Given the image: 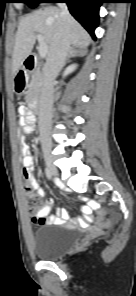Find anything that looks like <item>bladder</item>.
<instances>
[{
    "mask_svg": "<svg viewBox=\"0 0 136 296\" xmlns=\"http://www.w3.org/2000/svg\"><path fill=\"white\" fill-rule=\"evenodd\" d=\"M33 231L31 244L41 260H56L69 252L80 241L76 230L66 226L42 225Z\"/></svg>",
    "mask_w": 136,
    "mask_h": 296,
    "instance_id": "31cf9c89",
    "label": "bladder"
}]
</instances>
